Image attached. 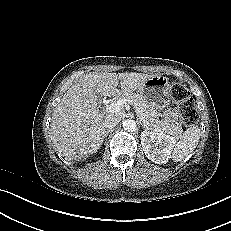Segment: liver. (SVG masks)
<instances>
[{"label": "liver", "mask_w": 231, "mask_h": 231, "mask_svg": "<svg viewBox=\"0 0 231 231\" xmlns=\"http://www.w3.org/2000/svg\"><path fill=\"white\" fill-rule=\"evenodd\" d=\"M154 75L144 73H89L80 77L63 95L51 120L54 149L67 161H79L94 154L105 138V119L96 95L121 96L140 89ZM121 89H118L119 85Z\"/></svg>", "instance_id": "liver-1"}]
</instances>
